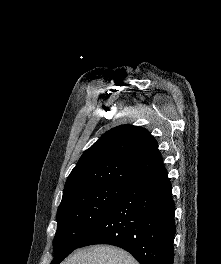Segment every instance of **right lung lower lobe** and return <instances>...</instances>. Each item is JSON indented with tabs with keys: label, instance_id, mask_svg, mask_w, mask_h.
<instances>
[{
	"label": "right lung lower lobe",
	"instance_id": "1",
	"mask_svg": "<svg viewBox=\"0 0 221 264\" xmlns=\"http://www.w3.org/2000/svg\"><path fill=\"white\" fill-rule=\"evenodd\" d=\"M171 191L164 167L130 181L78 248L110 244L130 252L140 264H173L176 227Z\"/></svg>",
	"mask_w": 221,
	"mask_h": 264
}]
</instances>
